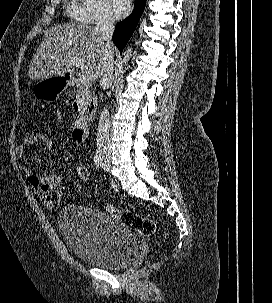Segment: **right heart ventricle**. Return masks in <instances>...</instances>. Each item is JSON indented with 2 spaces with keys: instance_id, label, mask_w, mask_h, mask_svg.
<instances>
[{
  "instance_id": "obj_1",
  "label": "right heart ventricle",
  "mask_w": 272,
  "mask_h": 303,
  "mask_svg": "<svg viewBox=\"0 0 272 303\" xmlns=\"http://www.w3.org/2000/svg\"><path fill=\"white\" fill-rule=\"evenodd\" d=\"M66 11L71 20L76 23H88L87 10L83 0H67Z\"/></svg>"
}]
</instances>
